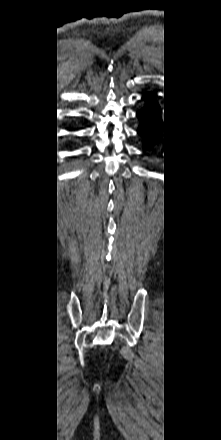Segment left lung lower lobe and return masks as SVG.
<instances>
[{"mask_svg": "<svg viewBox=\"0 0 221 440\" xmlns=\"http://www.w3.org/2000/svg\"><path fill=\"white\" fill-rule=\"evenodd\" d=\"M143 99L149 100L142 110L137 113L141 124L138 128V133L147 141L144 148L148 149L155 142L161 140L162 121L160 117V108L155 101L154 94H145Z\"/></svg>", "mask_w": 221, "mask_h": 440, "instance_id": "left-lung-lower-lobe-1", "label": "left lung lower lobe"}]
</instances>
